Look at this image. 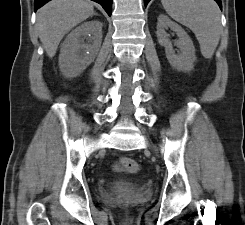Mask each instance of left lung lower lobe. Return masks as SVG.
Wrapping results in <instances>:
<instances>
[{
	"label": "left lung lower lobe",
	"mask_w": 245,
	"mask_h": 225,
	"mask_svg": "<svg viewBox=\"0 0 245 225\" xmlns=\"http://www.w3.org/2000/svg\"><path fill=\"white\" fill-rule=\"evenodd\" d=\"M149 1H150V0H144L145 6H147V4H148ZM215 1L218 3L219 7L222 9V3H221V0H215Z\"/></svg>",
	"instance_id": "left-lung-lower-lobe-1"
}]
</instances>
